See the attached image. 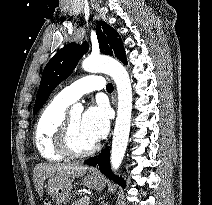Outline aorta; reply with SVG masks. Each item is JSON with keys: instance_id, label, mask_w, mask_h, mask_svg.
<instances>
[{"instance_id": "762f6f07", "label": "aorta", "mask_w": 212, "mask_h": 205, "mask_svg": "<svg viewBox=\"0 0 212 205\" xmlns=\"http://www.w3.org/2000/svg\"><path fill=\"white\" fill-rule=\"evenodd\" d=\"M82 68L90 73L103 72L110 75L117 87L118 110L110 155L111 168L116 172L123 161L130 133L132 113L131 81L123 65L111 57L89 56L83 60ZM74 109L80 111L81 106L75 105Z\"/></svg>"}]
</instances>
